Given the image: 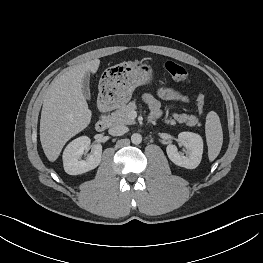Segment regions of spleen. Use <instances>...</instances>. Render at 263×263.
<instances>
[{"label": "spleen", "mask_w": 263, "mask_h": 263, "mask_svg": "<svg viewBox=\"0 0 263 263\" xmlns=\"http://www.w3.org/2000/svg\"><path fill=\"white\" fill-rule=\"evenodd\" d=\"M205 133L208 146V157L210 161H213L219 155L223 143V131L220 118L214 111H210L207 114Z\"/></svg>", "instance_id": "spleen-1"}]
</instances>
